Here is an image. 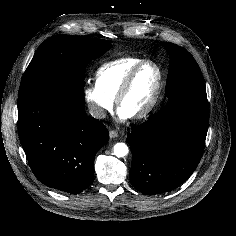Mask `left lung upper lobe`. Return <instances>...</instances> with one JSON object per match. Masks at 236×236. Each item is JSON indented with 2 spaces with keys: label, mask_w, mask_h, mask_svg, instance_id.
I'll return each mask as SVG.
<instances>
[{
  "label": "left lung upper lobe",
  "mask_w": 236,
  "mask_h": 236,
  "mask_svg": "<svg viewBox=\"0 0 236 236\" xmlns=\"http://www.w3.org/2000/svg\"><path fill=\"white\" fill-rule=\"evenodd\" d=\"M170 55L165 94L169 100L200 94L206 95L201 70L192 55L183 47L161 43Z\"/></svg>",
  "instance_id": "1"
}]
</instances>
